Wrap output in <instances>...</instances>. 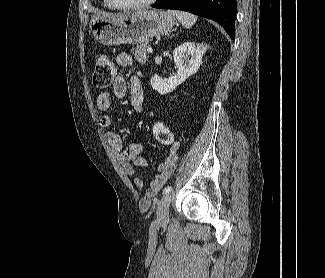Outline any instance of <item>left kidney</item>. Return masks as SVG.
Wrapping results in <instances>:
<instances>
[{
    "label": "left kidney",
    "mask_w": 325,
    "mask_h": 278,
    "mask_svg": "<svg viewBox=\"0 0 325 278\" xmlns=\"http://www.w3.org/2000/svg\"><path fill=\"white\" fill-rule=\"evenodd\" d=\"M204 53L205 48L201 44H195L194 42H185L177 47L173 51L177 74L167 79L154 75L150 81L152 88L161 95L175 90L177 86L198 71Z\"/></svg>",
    "instance_id": "5707ae66"
}]
</instances>
